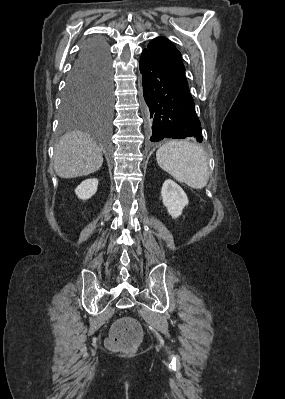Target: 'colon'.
<instances>
[{
	"instance_id": "5ec220e1",
	"label": "colon",
	"mask_w": 285,
	"mask_h": 399,
	"mask_svg": "<svg viewBox=\"0 0 285 399\" xmlns=\"http://www.w3.org/2000/svg\"><path fill=\"white\" fill-rule=\"evenodd\" d=\"M143 338L140 325L132 320H121L113 326L108 346L117 351H133Z\"/></svg>"
}]
</instances>
